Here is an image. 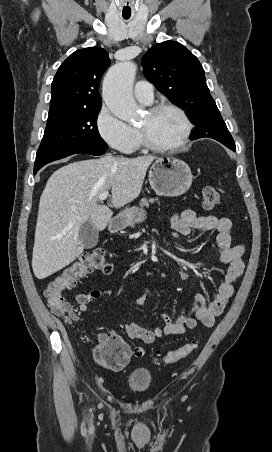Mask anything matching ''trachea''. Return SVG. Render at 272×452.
<instances>
[{
	"label": "trachea",
	"instance_id": "1",
	"mask_svg": "<svg viewBox=\"0 0 272 452\" xmlns=\"http://www.w3.org/2000/svg\"><path fill=\"white\" fill-rule=\"evenodd\" d=\"M124 19H129V17H124Z\"/></svg>",
	"mask_w": 272,
	"mask_h": 452
}]
</instances>
